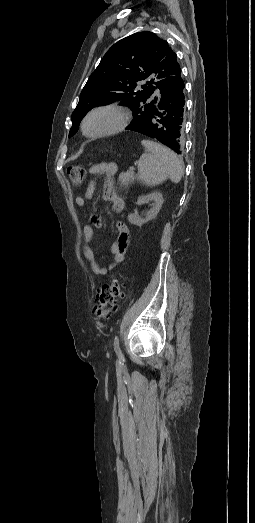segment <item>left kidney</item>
Returning <instances> with one entry per match:
<instances>
[{"mask_svg": "<svg viewBox=\"0 0 255 523\" xmlns=\"http://www.w3.org/2000/svg\"><path fill=\"white\" fill-rule=\"evenodd\" d=\"M137 202L138 204H148V202H154V204H152L153 208L152 210H149L146 218H140V216H137V214H129L128 220L130 224H135V226H142V224H145V222H149V220H154V218H156L158 212L161 210V206L164 200L160 192H153V194H147V196H140Z\"/></svg>", "mask_w": 255, "mask_h": 523, "instance_id": "obj_1", "label": "left kidney"}]
</instances>
